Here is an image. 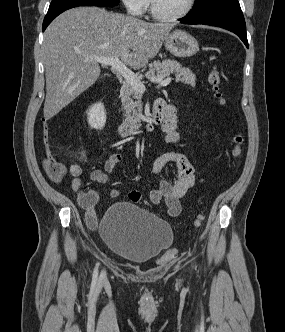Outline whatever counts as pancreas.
<instances>
[{
	"instance_id": "pancreas-1",
	"label": "pancreas",
	"mask_w": 285,
	"mask_h": 332,
	"mask_svg": "<svg viewBox=\"0 0 285 332\" xmlns=\"http://www.w3.org/2000/svg\"><path fill=\"white\" fill-rule=\"evenodd\" d=\"M174 73L176 82H182L191 86L195 85L196 76L190 69L183 67L175 60H163L154 62L149 66L145 74L147 78H165ZM121 101L126 110V121L136 127L142 119V93L135 90L129 83H124L121 88Z\"/></svg>"
}]
</instances>
